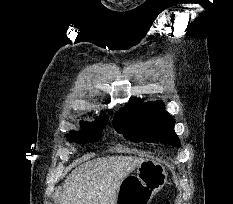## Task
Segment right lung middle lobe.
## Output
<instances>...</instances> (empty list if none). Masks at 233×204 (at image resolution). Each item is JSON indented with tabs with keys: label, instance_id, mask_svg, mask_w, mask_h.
I'll use <instances>...</instances> for the list:
<instances>
[{
	"label": "right lung middle lobe",
	"instance_id": "right-lung-middle-lobe-1",
	"mask_svg": "<svg viewBox=\"0 0 233 204\" xmlns=\"http://www.w3.org/2000/svg\"><path fill=\"white\" fill-rule=\"evenodd\" d=\"M106 124V119H97L95 123L82 122V132H73L67 137L77 143H89L100 139L102 129Z\"/></svg>",
	"mask_w": 233,
	"mask_h": 204
}]
</instances>
